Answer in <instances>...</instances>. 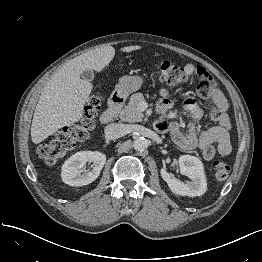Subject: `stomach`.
Masks as SVG:
<instances>
[{
	"label": "stomach",
	"mask_w": 262,
	"mask_h": 262,
	"mask_svg": "<svg viewBox=\"0 0 262 262\" xmlns=\"http://www.w3.org/2000/svg\"><path fill=\"white\" fill-rule=\"evenodd\" d=\"M142 84L143 79L140 76H123L116 85V92L123 97H127L132 92L139 90Z\"/></svg>",
	"instance_id": "stomach-1"
}]
</instances>
